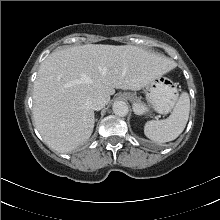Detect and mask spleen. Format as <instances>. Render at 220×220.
<instances>
[{"label": "spleen", "mask_w": 220, "mask_h": 220, "mask_svg": "<svg viewBox=\"0 0 220 220\" xmlns=\"http://www.w3.org/2000/svg\"><path fill=\"white\" fill-rule=\"evenodd\" d=\"M190 111V99L187 92H183L171 115L163 120L147 121L144 126L146 137L154 142L164 143L176 139L184 130Z\"/></svg>", "instance_id": "obj_1"}]
</instances>
